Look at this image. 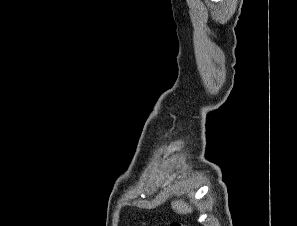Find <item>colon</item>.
I'll use <instances>...</instances> for the list:
<instances>
[{
  "label": "colon",
  "mask_w": 297,
  "mask_h": 226,
  "mask_svg": "<svg viewBox=\"0 0 297 226\" xmlns=\"http://www.w3.org/2000/svg\"><path fill=\"white\" fill-rule=\"evenodd\" d=\"M171 226H184V225L181 223H173Z\"/></svg>",
  "instance_id": "obj_1"
}]
</instances>
